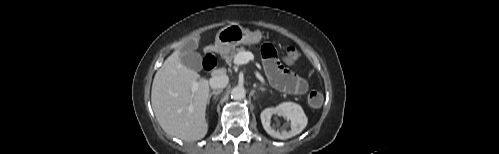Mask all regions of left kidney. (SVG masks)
<instances>
[{"instance_id": "left-kidney-1", "label": "left kidney", "mask_w": 499, "mask_h": 154, "mask_svg": "<svg viewBox=\"0 0 499 154\" xmlns=\"http://www.w3.org/2000/svg\"><path fill=\"white\" fill-rule=\"evenodd\" d=\"M274 114L283 115L284 117L287 118V120H290L291 130L289 131L283 130L279 132L273 129L270 126V120L272 115ZM260 118L265 131L270 136L282 140L291 138L301 133L302 130L306 127L308 122L302 107L293 102H283L278 106H276L275 108L274 107L266 108L261 112Z\"/></svg>"}]
</instances>
